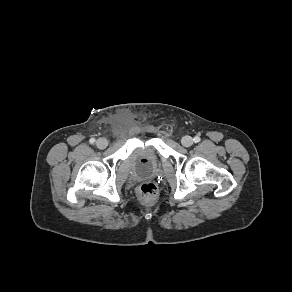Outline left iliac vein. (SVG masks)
Segmentation results:
<instances>
[{
    "instance_id": "1",
    "label": "left iliac vein",
    "mask_w": 292,
    "mask_h": 292,
    "mask_svg": "<svg viewBox=\"0 0 292 292\" xmlns=\"http://www.w3.org/2000/svg\"><path fill=\"white\" fill-rule=\"evenodd\" d=\"M181 143L184 147H190L193 144V139L190 136H184Z\"/></svg>"
}]
</instances>
